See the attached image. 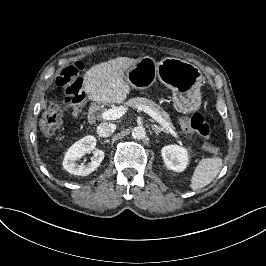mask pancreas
<instances>
[{
	"mask_svg": "<svg viewBox=\"0 0 266 266\" xmlns=\"http://www.w3.org/2000/svg\"><path fill=\"white\" fill-rule=\"evenodd\" d=\"M129 105L134 109H137L139 106H147L157 113L158 116H161L165 121L171 122L169 114L164 111L160 105L156 104L154 101L143 98L136 97L129 100Z\"/></svg>",
	"mask_w": 266,
	"mask_h": 266,
	"instance_id": "cf45deb5",
	"label": "pancreas"
}]
</instances>
